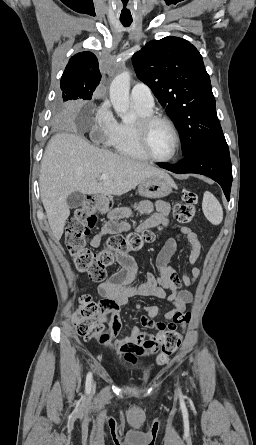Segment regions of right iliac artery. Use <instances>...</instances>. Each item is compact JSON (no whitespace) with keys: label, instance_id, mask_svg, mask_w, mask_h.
Instances as JSON below:
<instances>
[{"label":"right iliac artery","instance_id":"obj_1","mask_svg":"<svg viewBox=\"0 0 256 445\" xmlns=\"http://www.w3.org/2000/svg\"><path fill=\"white\" fill-rule=\"evenodd\" d=\"M91 382H92V373L89 372V373L87 374V377H86V385H85V391H86V393H90V390H91Z\"/></svg>","mask_w":256,"mask_h":445}]
</instances>
